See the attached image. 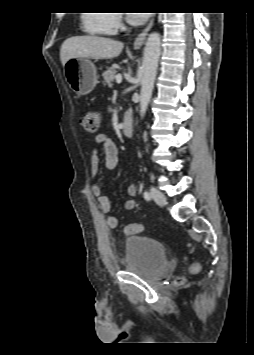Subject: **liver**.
Here are the masks:
<instances>
[{
  "instance_id": "6515ba94",
  "label": "liver",
  "mask_w": 254,
  "mask_h": 355,
  "mask_svg": "<svg viewBox=\"0 0 254 355\" xmlns=\"http://www.w3.org/2000/svg\"><path fill=\"white\" fill-rule=\"evenodd\" d=\"M124 45L106 37L75 36L66 39L60 49L62 65L72 58L110 59L119 56Z\"/></svg>"
}]
</instances>
